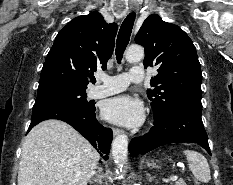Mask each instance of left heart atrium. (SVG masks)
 I'll return each mask as SVG.
<instances>
[{"mask_svg":"<svg viewBox=\"0 0 233 185\" xmlns=\"http://www.w3.org/2000/svg\"><path fill=\"white\" fill-rule=\"evenodd\" d=\"M104 116L110 122L126 127H135L144 119L142 103L129 95H119L106 101Z\"/></svg>","mask_w":233,"mask_h":185,"instance_id":"1","label":"left heart atrium"}]
</instances>
